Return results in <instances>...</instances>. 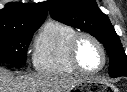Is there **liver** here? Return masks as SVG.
Returning a JSON list of instances; mask_svg holds the SVG:
<instances>
[{
    "label": "liver",
    "mask_w": 127,
    "mask_h": 92,
    "mask_svg": "<svg viewBox=\"0 0 127 92\" xmlns=\"http://www.w3.org/2000/svg\"><path fill=\"white\" fill-rule=\"evenodd\" d=\"M83 81L81 77L49 74L14 76L0 68V92H69Z\"/></svg>",
    "instance_id": "1"
}]
</instances>
